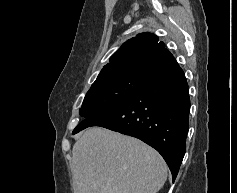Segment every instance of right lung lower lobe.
Masks as SVG:
<instances>
[{"instance_id":"right-lung-lower-lobe-1","label":"right lung lower lobe","mask_w":237,"mask_h":193,"mask_svg":"<svg viewBox=\"0 0 237 193\" xmlns=\"http://www.w3.org/2000/svg\"><path fill=\"white\" fill-rule=\"evenodd\" d=\"M189 109L184 72L167 52L148 68L139 87L124 102L83 120L73 134L101 126L136 137L162 155L174 181L186 150Z\"/></svg>"}]
</instances>
